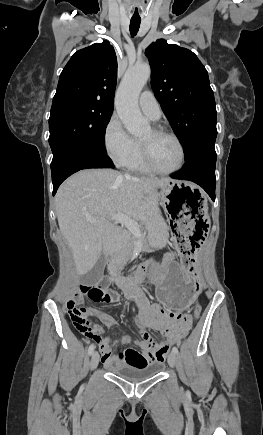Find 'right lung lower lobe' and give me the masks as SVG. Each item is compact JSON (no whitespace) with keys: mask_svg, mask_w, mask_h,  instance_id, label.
Wrapping results in <instances>:
<instances>
[{"mask_svg":"<svg viewBox=\"0 0 263 435\" xmlns=\"http://www.w3.org/2000/svg\"><path fill=\"white\" fill-rule=\"evenodd\" d=\"M88 168H114L107 153L81 146H66L61 149L51 163L53 195L59 185L70 175Z\"/></svg>","mask_w":263,"mask_h":435,"instance_id":"obj_1","label":"right lung lower lobe"}]
</instances>
